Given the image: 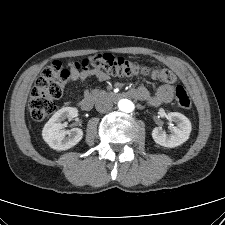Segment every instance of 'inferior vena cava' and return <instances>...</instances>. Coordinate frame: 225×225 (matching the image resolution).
I'll return each mask as SVG.
<instances>
[{"instance_id": "1", "label": "inferior vena cava", "mask_w": 225, "mask_h": 225, "mask_svg": "<svg viewBox=\"0 0 225 225\" xmlns=\"http://www.w3.org/2000/svg\"><path fill=\"white\" fill-rule=\"evenodd\" d=\"M113 107V103L110 99L101 97L96 101L95 108L100 113H106Z\"/></svg>"}]
</instances>
